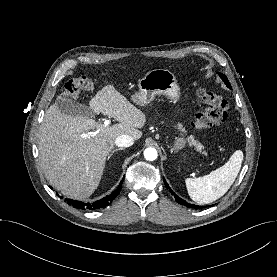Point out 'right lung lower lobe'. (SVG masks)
<instances>
[{"instance_id":"right-lung-lower-lobe-1","label":"right lung lower lobe","mask_w":277,"mask_h":277,"mask_svg":"<svg viewBox=\"0 0 277 277\" xmlns=\"http://www.w3.org/2000/svg\"><path fill=\"white\" fill-rule=\"evenodd\" d=\"M122 183H123V180L121 181V183L119 184L117 189L114 192H112L109 196H106V197L102 198L101 200H98L94 203H83L81 201H75L72 199H66V201L69 205L73 206L74 208H78L81 210H86V209L97 210V209L106 207L115 199V197L118 195L119 191L122 188Z\"/></svg>"}]
</instances>
